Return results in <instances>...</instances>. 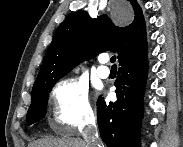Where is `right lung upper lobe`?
Wrapping results in <instances>:
<instances>
[{"label":"right lung upper lobe","instance_id":"1","mask_svg":"<svg viewBox=\"0 0 183 147\" xmlns=\"http://www.w3.org/2000/svg\"><path fill=\"white\" fill-rule=\"evenodd\" d=\"M135 17L125 27L115 26L108 16L95 19L86 11L68 16L57 28L32 91L59 80L85 59L98 53H118V61L147 50L146 25L136 0H130Z\"/></svg>","mask_w":183,"mask_h":147}]
</instances>
